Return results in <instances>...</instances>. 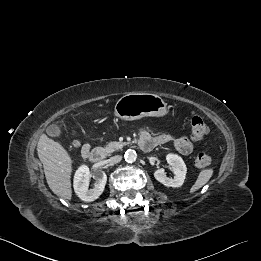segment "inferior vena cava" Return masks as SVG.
<instances>
[{
  "instance_id": "obj_1",
  "label": "inferior vena cava",
  "mask_w": 261,
  "mask_h": 261,
  "mask_svg": "<svg viewBox=\"0 0 261 261\" xmlns=\"http://www.w3.org/2000/svg\"><path fill=\"white\" fill-rule=\"evenodd\" d=\"M122 160V156L120 155H116V156H113L109 159V162L111 164H116V163H119L120 161Z\"/></svg>"
}]
</instances>
